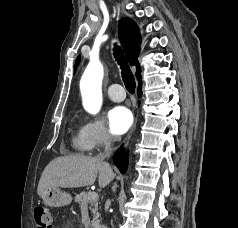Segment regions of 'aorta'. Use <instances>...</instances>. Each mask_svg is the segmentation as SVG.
<instances>
[{
    "instance_id": "obj_1",
    "label": "aorta",
    "mask_w": 238,
    "mask_h": 228,
    "mask_svg": "<svg viewBox=\"0 0 238 228\" xmlns=\"http://www.w3.org/2000/svg\"><path fill=\"white\" fill-rule=\"evenodd\" d=\"M104 69L99 61H90L86 67L81 81L80 90L83 107L90 114H97L102 105V79Z\"/></svg>"
}]
</instances>
